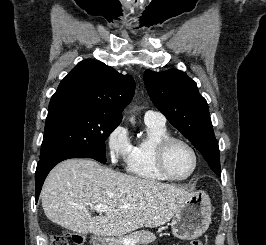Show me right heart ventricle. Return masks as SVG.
<instances>
[{
  "instance_id": "e07e8e85",
  "label": "right heart ventricle",
  "mask_w": 266,
  "mask_h": 245,
  "mask_svg": "<svg viewBox=\"0 0 266 245\" xmlns=\"http://www.w3.org/2000/svg\"><path fill=\"white\" fill-rule=\"evenodd\" d=\"M148 136L133 146L129 161V173L148 184H161L168 180L159 172L155 161V149L163 138L170 136L166 123L145 122Z\"/></svg>"
}]
</instances>
